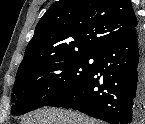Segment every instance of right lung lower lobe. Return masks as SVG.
Segmentation results:
<instances>
[{"label": "right lung lower lobe", "instance_id": "1", "mask_svg": "<svg viewBox=\"0 0 145 124\" xmlns=\"http://www.w3.org/2000/svg\"><path fill=\"white\" fill-rule=\"evenodd\" d=\"M45 106L76 109L110 124H136L145 111V37L139 26L104 46L89 76Z\"/></svg>", "mask_w": 145, "mask_h": 124}]
</instances>
